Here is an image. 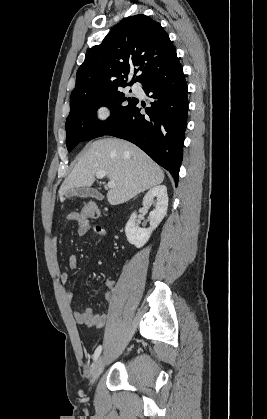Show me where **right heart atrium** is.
<instances>
[{
  "mask_svg": "<svg viewBox=\"0 0 267 419\" xmlns=\"http://www.w3.org/2000/svg\"><path fill=\"white\" fill-rule=\"evenodd\" d=\"M94 113H95L96 119L99 122L103 123V122H106L109 119V117L111 115V110L107 105L101 104V105H99L95 108Z\"/></svg>",
  "mask_w": 267,
  "mask_h": 419,
  "instance_id": "obj_1",
  "label": "right heart atrium"
}]
</instances>
